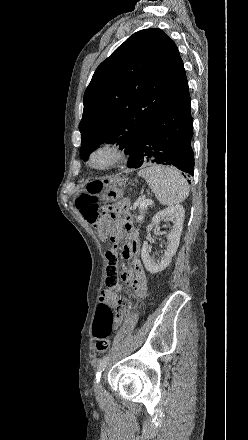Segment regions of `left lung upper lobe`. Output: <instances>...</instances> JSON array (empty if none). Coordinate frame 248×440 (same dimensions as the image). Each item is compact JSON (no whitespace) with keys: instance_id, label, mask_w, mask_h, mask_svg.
Instances as JSON below:
<instances>
[{"instance_id":"left-lung-upper-lobe-1","label":"left lung upper lobe","mask_w":248,"mask_h":440,"mask_svg":"<svg viewBox=\"0 0 248 440\" xmlns=\"http://www.w3.org/2000/svg\"><path fill=\"white\" fill-rule=\"evenodd\" d=\"M187 88L173 40L160 29L134 33L98 66L85 91L82 158L103 142L130 153L145 128Z\"/></svg>"}]
</instances>
